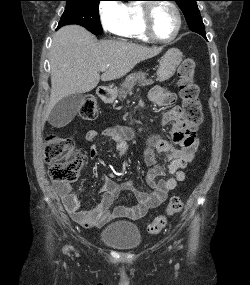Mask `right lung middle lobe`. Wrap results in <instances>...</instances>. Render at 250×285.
Wrapping results in <instances>:
<instances>
[{
  "instance_id": "dd1d6c3e",
  "label": "right lung middle lobe",
  "mask_w": 250,
  "mask_h": 285,
  "mask_svg": "<svg viewBox=\"0 0 250 285\" xmlns=\"http://www.w3.org/2000/svg\"><path fill=\"white\" fill-rule=\"evenodd\" d=\"M65 11L58 27L67 24H78L95 35L102 33L99 19V2L101 0H65Z\"/></svg>"
}]
</instances>
